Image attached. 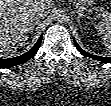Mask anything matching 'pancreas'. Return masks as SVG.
<instances>
[{
    "mask_svg": "<svg viewBox=\"0 0 111 106\" xmlns=\"http://www.w3.org/2000/svg\"><path fill=\"white\" fill-rule=\"evenodd\" d=\"M81 3H87L89 6L92 5V1H85V2H81Z\"/></svg>",
    "mask_w": 111,
    "mask_h": 106,
    "instance_id": "pancreas-1",
    "label": "pancreas"
}]
</instances>
